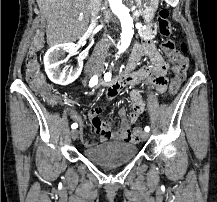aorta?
Returning a JSON list of instances; mask_svg holds the SVG:
<instances>
[{"label": "aorta", "mask_w": 217, "mask_h": 202, "mask_svg": "<svg viewBox=\"0 0 217 202\" xmlns=\"http://www.w3.org/2000/svg\"><path fill=\"white\" fill-rule=\"evenodd\" d=\"M108 2L113 14H116L121 22L122 34L118 54H123V52L129 48L133 38V20L129 14L128 8H125L122 0H108Z\"/></svg>", "instance_id": "762f6f07"}]
</instances>
